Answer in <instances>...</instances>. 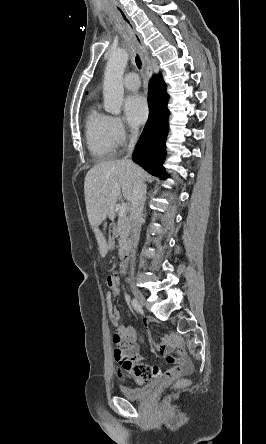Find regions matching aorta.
Instances as JSON below:
<instances>
[{
	"mask_svg": "<svg viewBox=\"0 0 266 444\" xmlns=\"http://www.w3.org/2000/svg\"><path fill=\"white\" fill-rule=\"evenodd\" d=\"M128 62V53L119 49L111 53L104 74V109L113 115L121 112L124 96L122 78Z\"/></svg>",
	"mask_w": 266,
	"mask_h": 444,
	"instance_id": "1",
	"label": "aorta"
}]
</instances>
